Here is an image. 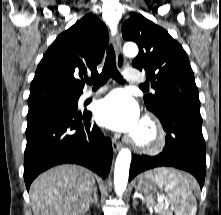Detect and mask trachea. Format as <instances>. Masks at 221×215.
<instances>
[{"mask_svg":"<svg viewBox=\"0 0 221 215\" xmlns=\"http://www.w3.org/2000/svg\"><path fill=\"white\" fill-rule=\"evenodd\" d=\"M110 77L120 83H125L121 74L116 68L115 52L112 45H110L107 49V56L102 72L96 78L86 80V83L90 85L93 84L94 88H98L105 84ZM140 87L145 88L144 85H140Z\"/></svg>","mask_w":221,"mask_h":215,"instance_id":"obj_1","label":"trachea"}]
</instances>
